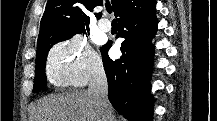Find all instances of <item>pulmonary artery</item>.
Instances as JSON below:
<instances>
[{
	"label": "pulmonary artery",
	"mask_w": 217,
	"mask_h": 121,
	"mask_svg": "<svg viewBox=\"0 0 217 121\" xmlns=\"http://www.w3.org/2000/svg\"><path fill=\"white\" fill-rule=\"evenodd\" d=\"M98 27L104 32H109L112 28V24L108 19H101L98 21Z\"/></svg>",
	"instance_id": "obj_1"
}]
</instances>
